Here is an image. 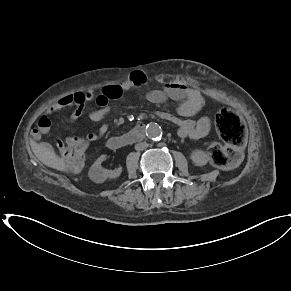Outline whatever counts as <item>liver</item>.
<instances>
[{
    "mask_svg": "<svg viewBox=\"0 0 291 291\" xmlns=\"http://www.w3.org/2000/svg\"><path fill=\"white\" fill-rule=\"evenodd\" d=\"M31 148L34 155L46 166L59 171L68 172V165L63 158H60L53 148L49 145L38 144L31 142Z\"/></svg>",
    "mask_w": 291,
    "mask_h": 291,
    "instance_id": "6515ba94",
    "label": "liver"
}]
</instances>
